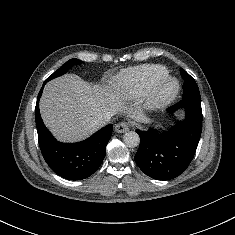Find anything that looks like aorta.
I'll return each instance as SVG.
<instances>
[{
	"instance_id": "762f6f07",
	"label": "aorta",
	"mask_w": 235,
	"mask_h": 235,
	"mask_svg": "<svg viewBox=\"0 0 235 235\" xmlns=\"http://www.w3.org/2000/svg\"><path fill=\"white\" fill-rule=\"evenodd\" d=\"M123 139L125 144L130 148L137 147L140 143V137L135 131L126 132Z\"/></svg>"
}]
</instances>
